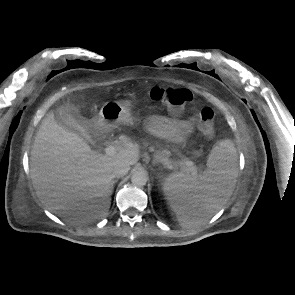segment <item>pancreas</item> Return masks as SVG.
I'll list each match as a JSON object with an SVG mask.
<instances>
[{"mask_svg": "<svg viewBox=\"0 0 295 295\" xmlns=\"http://www.w3.org/2000/svg\"><path fill=\"white\" fill-rule=\"evenodd\" d=\"M169 152L168 151H164L161 153V156H158V159H160L161 161H165L166 160V157L169 156Z\"/></svg>", "mask_w": 295, "mask_h": 295, "instance_id": "pancreas-1", "label": "pancreas"}]
</instances>
